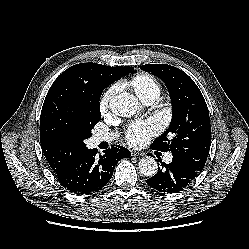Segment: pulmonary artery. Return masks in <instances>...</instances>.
<instances>
[{"instance_id": "pulmonary-artery-1", "label": "pulmonary artery", "mask_w": 249, "mask_h": 249, "mask_svg": "<svg viewBox=\"0 0 249 249\" xmlns=\"http://www.w3.org/2000/svg\"><path fill=\"white\" fill-rule=\"evenodd\" d=\"M155 101V98H151L149 100L146 101V103L150 104V103H153ZM113 137L111 135H103V134H99L97 136H95L94 140L99 143V142H102V141H109V140H112ZM172 154L169 153L165 156L164 160L166 163H170L172 161Z\"/></svg>"}]
</instances>
